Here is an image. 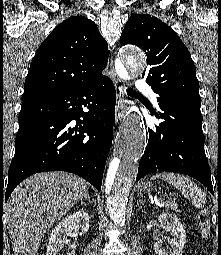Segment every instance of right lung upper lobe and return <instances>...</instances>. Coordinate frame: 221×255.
Instances as JSON below:
<instances>
[{
	"label": "right lung upper lobe",
	"instance_id": "1",
	"mask_svg": "<svg viewBox=\"0 0 221 255\" xmlns=\"http://www.w3.org/2000/svg\"><path fill=\"white\" fill-rule=\"evenodd\" d=\"M107 42L84 16L60 23L38 48L24 84L22 101L69 91L101 78Z\"/></svg>",
	"mask_w": 221,
	"mask_h": 255
}]
</instances>
